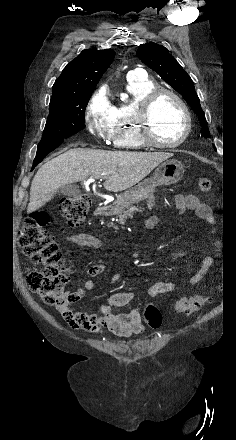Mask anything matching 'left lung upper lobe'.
Segmentation results:
<instances>
[{"label":"left lung upper lobe","mask_w":236,"mask_h":440,"mask_svg":"<svg viewBox=\"0 0 236 440\" xmlns=\"http://www.w3.org/2000/svg\"><path fill=\"white\" fill-rule=\"evenodd\" d=\"M137 56L144 64L158 73L192 106L200 119L203 136L209 138V129L199 103V98L195 92L194 83L176 59L169 54L166 48L153 42L140 45L137 50Z\"/></svg>","instance_id":"obj_1"}]
</instances>
